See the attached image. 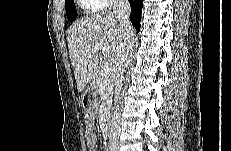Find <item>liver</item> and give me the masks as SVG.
I'll use <instances>...</instances> for the list:
<instances>
[{"label":"liver","mask_w":231,"mask_h":151,"mask_svg":"<svg viewBox=\"0 0 231 151\" xmlns=\"http://www.w3.org/2000/svg\"><path fill=\"white\" fill-rule=\"evenodd\" d=\"M130 38L134 40L133 35ZM128 41L121 30L116 16L112 13L91 14L78 20L67 32L71 64L78 92L83 91L97 71L99 52L95 44L105 47L104 58L115 68L120 53Z\"/></svg>","instance_id":"liver-1"}]
</instances>
